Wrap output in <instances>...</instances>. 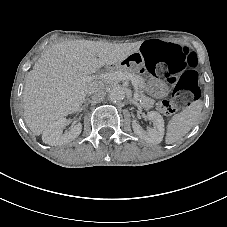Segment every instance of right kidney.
Returning <instances> with one entry per match:
<instances>
[{"mask_svg": "<svg viewBox=\"0 0 227 227\" xmlns=\"http://www.w3.org/2000/svg\"><path fill=\"white\" fill-rule=\"evenodd\" d=\"M66 122L67 119L61 117L50 124L43 131L42 141L50 146H57L70 143L76 139L82 131V124L80 122L74 124L68 132L63 134V128L66 126Z\"/></svg>", "mask_w": 227, "mask_h": 227, "instance_id": "ca27d5eb", "label": "right kidney"}]
</instances>
